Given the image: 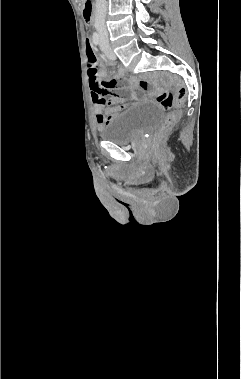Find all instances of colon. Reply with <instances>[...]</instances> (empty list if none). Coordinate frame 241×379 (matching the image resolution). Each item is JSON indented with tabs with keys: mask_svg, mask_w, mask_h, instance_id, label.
Returning <instances> with one entry per match:
<instances>
[{
	"mask_svg": "<svg viewBox=\"0 0 241 379\" xmlns=\"http://www.w3.org/2000/svg\"><path fill=\"white\" fill-rule=\"evenodd\" d=\"M86 58L88 67V82H90V88L96 90L100 95H109L114 93L115 95H124L122 91L115 89L112 83L103 84L99 82L98 68H97V56L90 42L86 41ZM186 98V90L184 87H180L177 94L173 96L170 93L162 92L157 94V103L165 110H169L174 106L181 105ZM178 113L173 112L168 115L167 119L157 132L156 139L163 137L171 126L177 121Z\"/></svg>",
	"mask_w": 241,
	"mask_h": 379,
	"instance_id": "5ec220e1",
	"label": "colon"
}]
</instances>
